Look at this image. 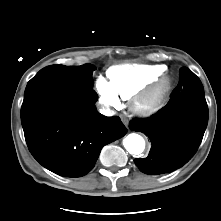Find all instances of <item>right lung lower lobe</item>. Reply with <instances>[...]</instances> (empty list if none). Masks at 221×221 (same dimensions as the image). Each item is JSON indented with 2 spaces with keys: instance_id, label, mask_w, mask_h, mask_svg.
<instances>
[{
  "instance_id": "obj_1",
  "label": "right lung lower lobe",
  "mask_w": 221,
  "mask_h": 221,
  "mask_svg": "<svg viewBox=\"0 0 221 221\" xmlns=\"http://www.w3.org/2000/svg\"><path fill=\"white\" fill-rule=\"evenodd\" d=\"M97 100L92 88L28 83L21 122L27 146L43 167L64 177L84 176L103 146L126 134L119 117L97 111Z\"/></svg>"
}]
</instances>
